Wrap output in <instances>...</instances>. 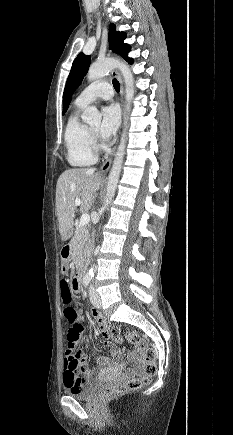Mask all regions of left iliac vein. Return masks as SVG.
<instances>
[{
	"mask_svg": "<svg viewBox=\"0 0 233 435\" xmlns=\"http://www.w3.org/2000/svg\"><path fill=\"white\" fill-rule=\"evenodd\" d=\"M89 295H90V300H91L92 304L96 308H100L101 307V298H100L99 294L95 291L93 286H90V288H89Z\"/></svg>",
	"mask_w": 233,
	"mask_h": 435,
	"instance_id": "left-iliac-vein-1",
	"label": "left iliac vein"
}]
</instances>
